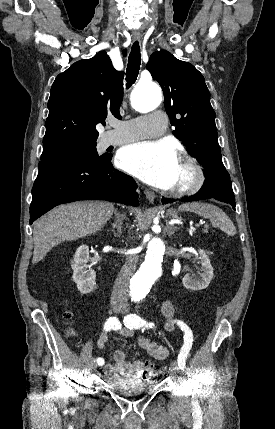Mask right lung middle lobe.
I'll use <instances>...</instances> for the list:
<instances>
[{
    "instance_id": "obj_1",
    "label": "right lung middle lobe",
    "mask_w": 275,
    "mask_h": 429,
    "mask_svg": "<svg viewBox=\"0 0 275 429\" xmlns=\"http://www.w3.org/2000/svg\"><path fill=\"white\" fill-rule=\"evenodd\" d=\"M109 157V155H98L96 143L77 145L59 153L41 157L39 171L63 165H90L104 161Z\"/></svg>"
}]
</instances>
